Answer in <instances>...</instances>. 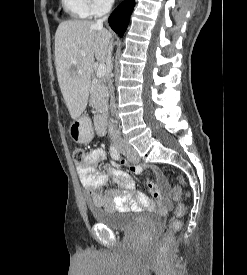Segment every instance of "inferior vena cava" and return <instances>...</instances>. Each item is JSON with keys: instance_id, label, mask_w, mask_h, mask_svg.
Listing matches in <instances>:
<instances>
[{"instance_id": "obj_1", "label": "inferior vena cava", "mask_w": 247, "mask_h": 275, "mask_svg": "<svg viewBox=\"0 0 247 275\" xmlns=\"http://www.w3.org/2000/svg\"><path fill=\"white\" fill-rule=\"evenodd\" d=\"M112 2L114 0H111ZM107 19V16L102 18V19H98L96 24L97 26H102L103 22ZM112 50H113V46L112 43H110L109 48H108V54H107V66L109 68H112ZM108 88H109V93H110V111L112 116L115 114V99H114V87H113V83L110 77H108ZM113 123H115V121H112ZM113 138L115 140L116 144H120L122 142V139L120 137L119 131L117 130V125L113 126Z\"/></svg>"}]
</instances>
